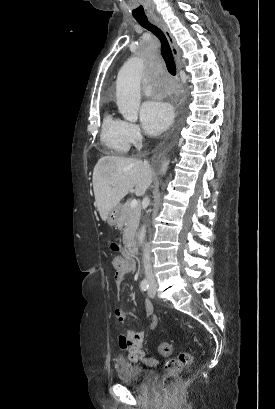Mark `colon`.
Wrapping results in <instances>:
<instances>
[{
	"label": "colon",
	"instance_id": "1",
	"mask_svg": "<svg viewBox=\"0 0 275 409\" xmlns=\"http://www.w3.org/2000/svg\"><path fill=\"white\" fill-rule=\"evenodd\" d=\"M111 249L117 250L116 243L110 244ZM115 268L119 273L123 272L124 263L121 256H114L112 259ZM159 355L161 358H168L171 351V343L169 340H162L160 343ZM193 362V354L191 352H181L176 356L170 357L165 366V374L161 379V386L168 388L174 386L177 379L180 377L183 370Z\"/></svg>",
	"mask_w": 275,
	"mask_h": 409
}]
</instances>
